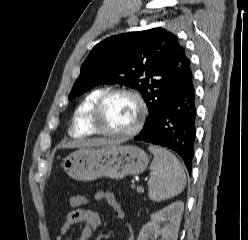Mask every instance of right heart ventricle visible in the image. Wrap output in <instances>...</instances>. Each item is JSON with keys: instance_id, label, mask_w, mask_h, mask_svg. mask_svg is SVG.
<instances>
[{"instance_id": "right-heart-ventricle-1", "label": "right heart ventricle", "mask_w": 248, "mask_h": 240, "mask_svg": "<svg viewBox=\"0 0 248 240\" xmlns=\"http://www.w3.org/2000/svg\"><path fill=\"white\" fill-rule=\"evenodd\" d=\"M107 90L106 87H97L88 92L76 107L70 133L75 138H84L95 133L90 124V116L95 102Z\"/></svg>"}]
</instances>
